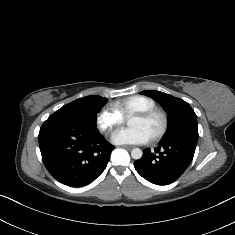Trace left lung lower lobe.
<instances>
[{"label":"left lung lower lobe","mask_w":235,"mask_h":235,"mask_svg":"<svg viewBox=\"0 0 235 235\" xmlns=\"http://www.w3.org/2000/svg\"><path fill=\"white\" fill-rule=\"evenodd\" d=\"M196 144L184 141H161L155 149L143 151L134 162L136 171L154 184H169L180 177L192 162Z\"/></svg>","instance_id":"0a47b994"}]
</instances>
